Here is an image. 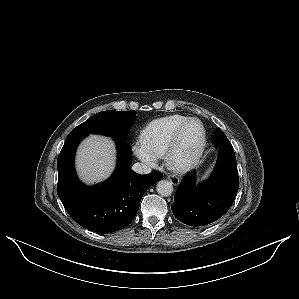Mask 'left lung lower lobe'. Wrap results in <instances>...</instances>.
I'll return each instance as SVG.
<instances>
[{
	"mask_svg": "<svg viewBox=\"0 0 299 299\" xmlns=\"http://www.w3.org/2000/svg\"><path fill=\"white\" fill-rule=\"evenodd\" d=\"M214 144L219 154L210 178L196 185L195 171H192L181 180L175 193L171 209L184 224L204 226L218 220L236 197L239 178L233 148L231 144Z\"/></svg>",
	"mask_w": 299,
	"mask_h": 299,
	"instance_id": "left-lung-lower-lobe-1",
	"label": "left lung lower lobe"
}]
</instances>
